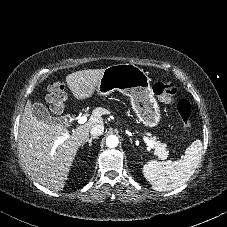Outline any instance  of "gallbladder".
Wrapping results in <instances>:
<instances>
[{
    "label": "gallbladder",
    "mask_w": 227,
    "mask_h": 227,
    "mask_svg": "<svg viewBox=\"0 0 227 227\" xmlns=\"http://www.w3.org/2000/svg\"><path fill=\"white\" fill-rule=\"evenodd\" d=\"M32 111H33L34 117L41 122L55 124V123H64L66 121V118H53L50 115L49 110L42 103H38V102L34 103L32 105Z\"/></svg>",
    "instance_id": "1"
}]
</instances>
